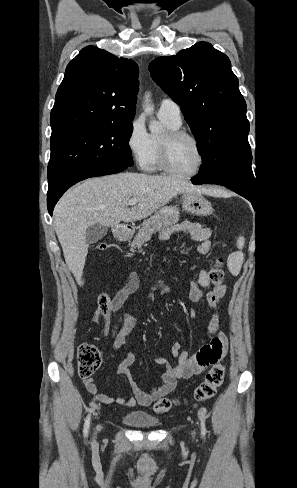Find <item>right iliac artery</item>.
Segmentation results:
<instances>
[{
  "instance_id": "1",
  "label": "right iliac artery",
  "mask_w": 297,
  "mask_h": 488,
  "mask_svg": "<svg viewBox=\"0 0 297 488\" xmlns=\"http://www.w3.org/2000/svg\"><path fill=\"white\" fill-rule=\"evenodd\" d=\"M92 410H90L91 414ZM90 414L86 417L85 424H84V436L86 437L88 434L89 426H90Z\"/></svg>"
}]
</instances>
